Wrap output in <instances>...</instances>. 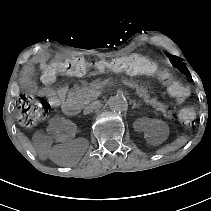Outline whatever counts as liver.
Masks as SVG:
<instances>
[{
	"instance_id": "liver-1",
	"label": "liver",
	"mask_w": 211,
	"mask_h": 211,
	"mask_svg": "<svg viewBox=\"0 0 211 211\" xmlns=\"http://www.w3.org/2000/svg\"><path fill=\"white\" fill-rule=\"evenodd\" d=\"M19 139L31 152L35 153V150L32 147L31 143L29 142L27 137L24 136L21 132L19 133Z\"/></svg>"
}]
</instances>
